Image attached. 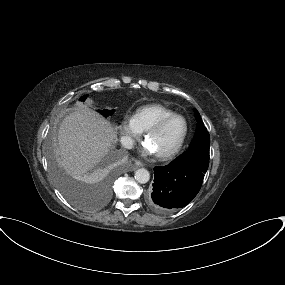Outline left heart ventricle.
Returning a JSON list of instances; mask_svg holds the SVG:
<instances>
[{
  "label": "left heart ventricle",
  "mask_w": 285,
  "mask_h": 285,
  "mask_svg": "<svg viewBox=\"0 0 285 285\" xmlns=\"http://www.w3.org/2000/svg\"><path fill=\"white\" fill-rule=\"evenodd\" d=\"M184 132L182 119H173L167 123L159 132L152 135L146 142L155 154L171 151L178 144Z\"/></svg>",
  "instance_id": "b2bd125f"
}]
</instances>
